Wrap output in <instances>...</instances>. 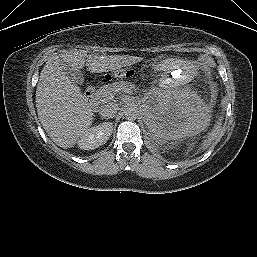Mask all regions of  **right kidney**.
Here are the masks:
<instances>
[{
    "mask_svg": "<svg viewBox=\"0 0 257 257\" xmlns=\"http://www.w3.org/2000/svg\"><path fill=\"white\" fill-rule=\"evenodd\" d=\"M113 131V125L110 122H104L88 129L78 140L80 149L93 150L105 144Z\"/></svg>",
    "mask_w": 257,
    "mask_h": 257,
    "instance_id": "1",
    "label": "right kidney"
}]
</instances>
